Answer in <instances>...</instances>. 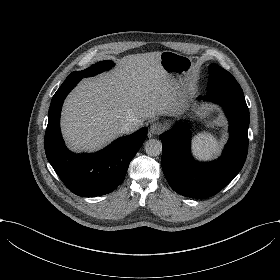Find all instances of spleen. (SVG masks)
<instances>
[{
    "label": "spleen",
    "instance_id": "1",
    "mask_svg": "<svg viewBox=\"0 0 280 280\" xmlns=\"http://www.w3.org/2000/svg\"><path fill=\"white\" fill-rule=\"evenodd\" d=\"M221 143L218 135L211 130L198 132L190 142V154L195 162L215 161L221 155Z\"/></svg>",
    "mask_w": 280,
    "mask_h": 280
}]
</instances>
